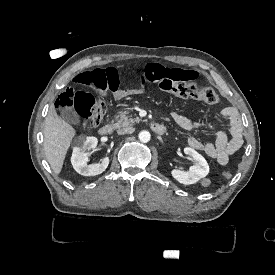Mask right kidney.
I'll return each mask as SVG.
<instances>
[{"label":"right kidney","mask_w":275,"mask_h":275,"mask_svg":"<svg viewBox=\"0 0 275 275\" xmlns=\"http://www.w3.org/2000/svg\"><path fill=\"white\" fill-rule=\"evenodd\" d=\"M97 144L98 140L95 137L80 136L75 140L71 163L79 174L95 176L103 173L108 167L109 156H105L101 164L87 165L88 156Z\"/></svg>","instance_id":"right-kidney-1"}]
</instances>
